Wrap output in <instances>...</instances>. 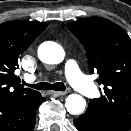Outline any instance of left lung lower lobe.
I'll return each mask as SVG.
<instances>
[{
  "label": "left lung lower lobe",
  "instance_id": "obj_1",
  "mask_svg": "<svg viewBox=\"0 0 131 131\" xmlns=\"http://www.w3.org/2000/svg\"><path fill=\"white\" fill-rule=\"evenodd\" d=\"M74 125L79 131H123L90 108L74 120Z\"/></svg>",
  "mask_w": 131,
  "mask_h": 131
}]
</instances>
